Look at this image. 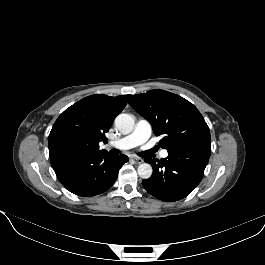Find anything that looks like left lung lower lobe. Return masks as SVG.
<instances>
[{
  "instance_id": "left-lung-lower-lobe-1",
  "label": "left lung lower lobe",
  "mask_w": 265,
  "mask_h": 265,
  "mask_svg": "<svg viewBox=\"0 0 265 265\" xmlns=\"http://www.w3.org/2000/svg\"><path fill=\"white\" fill-rule=\"evenodd\" d=\"M211 153V142H200L168 152L159 163L145 159L153 167V175L143 180L152 196L166 202L185 198L200 183Z\"/></svg>"
}]
</instances>
